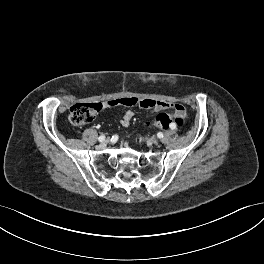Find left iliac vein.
<instances>
[{"instance_id": "left-iliac-vein-1", "label": "left iliac vein", "mask_w": 264, "mask_h": 264, "mask_svg": "<svg viewBox=\"0 0 264 264\" xmlns=\"http://www.w3.org/2000/svg\"><path fill=\"white\" fill-rule=\"evenodd\" d=\"M151 142L157 144V141L155 139H151Z\"/></svg>"}]
</instances>
